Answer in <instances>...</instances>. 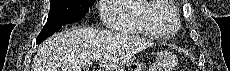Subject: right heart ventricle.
Wrapping results in <instances>:
<instances>
[{"instance_id":"e07e8e85","label":"right heart ventricle","mask_w":230,"mask_h":71,"mask_svg":"<svg viewBox=\"0 0 230 71\" xmlns=\"http://www.w3.org/2000/svg\"><path fill=\"white\" fill-rule=\"evenodd\" d=\"M113 30L168 37L177 29L175 8L168 0H123L107 7Z\"/></svg>"}]
</instances>
